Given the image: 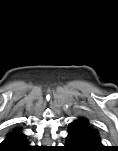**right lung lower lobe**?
I'll return each mask as SVG.
<instances>
[{
	"mask_svg": "<svg viewBox=\"0 0 118 151\" xmlns=\"http://www.w3.org/2000/svg\"><path fill=\"white\" fill-rule=\"evenodd\" d=\"M15 149L16 150H13V149H8V150H6V147L4 148V151H27V150H30L31 148H30V146L28 145V142H27V139L24 141V142H22L21 144H19L18 146H17V148L15 147ZM3 151V150H2Z\"/></svg>",
	"mask_w": 118,
	"mask_h": 151,
	"instance_id": "right-lung-lower-lobe-1",
	"label": "right lung lower lobe"
}]
</instances>
